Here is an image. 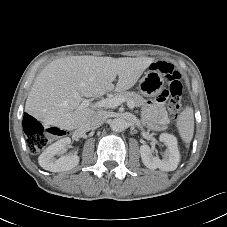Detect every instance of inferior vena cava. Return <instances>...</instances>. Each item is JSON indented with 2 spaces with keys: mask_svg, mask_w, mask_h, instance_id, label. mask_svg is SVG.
I'll list each match as a JSON object with an SVG mask.
<instances>
[{
  "mask_svg": "<svg viewBox=\"0 0 227 227\" xmlns=\"http://www.w3.org/2000/svg\"><path fill=\"white\" fill-rule=\"evenodd\" d=\"M106 113L103 111L95 112L86 122L89 129H96L100 127L106 120Z\"/></svg>",
  "mask_w": 227,
  "mask_h": 227,
  "instance_id": "602c4592",
  "label": "inferior vena cava"
}]
</instances>
